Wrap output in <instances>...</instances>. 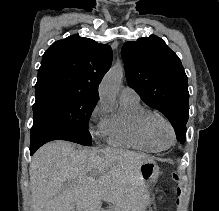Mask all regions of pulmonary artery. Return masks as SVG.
Here are the masks:
<instances>
[{"label": "pulmonary artery", "mask_w": 219, "mask_h": 211, "mask_svg": "<svg viewBox=\"0 0 219 211\" xmlns=\"http://www.w3.org/2000/svg\"><path fill=\"white\" fill-rule=\"evenodd\" d=\"M120 100H139V95L133 88L126 86L121 90Z\"/></svg>", "instance_id": "pulmonary-artery-1"}]
</instances>
